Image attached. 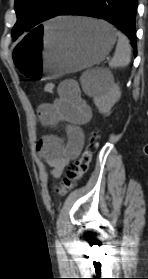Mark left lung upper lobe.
I'll list each match as a JSON object with an SVG mask.
<instances>
[{
	"mask_svg": "<svg viewBox=\"0 0 148 279\" xmlns=\"http://www.w3.org/2000/svg\"><path fill=\"white\" fill-rule=\"evenodd\" d=\"M73 0H15L17 22L12 29L15 40L23 31L57 16Z\"/></svg>",
	"mask_w": 148,
	"mask_h": 279,
	"instance_id": "1",
	"label": "left lung upper lobe"
}]
</instances>
